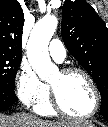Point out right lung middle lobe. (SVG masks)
I'll return each mask as SVG.
<instances>
[{
  "instance_id": "right-lung-middle-lobe-1",
  "label": "right lung middle lobe",
  "mask_w": 108,
  "mask_h": 127,
  "mask_svg": "<svg viewBox=\"0 0 108 127\" xmlns=\"http://www.w3.org/2000/svg\"><path fill=\"white\" fill-rule=\"evenodd\" d=\"M22 55L0 52V86L14 90L15 77Z\"/></svg>"
}]
</instances>
